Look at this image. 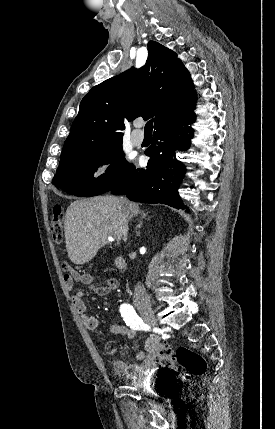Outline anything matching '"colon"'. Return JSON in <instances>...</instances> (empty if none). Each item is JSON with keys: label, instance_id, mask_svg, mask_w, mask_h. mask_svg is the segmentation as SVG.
I'll list each match as a JSON object with an SVG mask.
<instances>
[{"label": "colon", "instance_id": "colon-1", "mask_svg": "<svg viewBox=\"0 0 275 429\" xmlns=\"http://www.w3.org/2000/svg\"><path fill=\"white\" fill-rule=\"evenodd\" d=\"M51 236L55 243H62L64 237L63 221L62 209L59 205L53 208ZM64 269L66 274H68L70 268L65 265ZM159 362L162 368L169 369L185 379H189L195 375H203L207 371L206 360L197 352L184 346L173 349L170 345L163 344L159 352ZM176 367L179 368L178 371L175 370Z\"/></svg>", "mask_w": 275, "mask_h": 429}]
</instances>
